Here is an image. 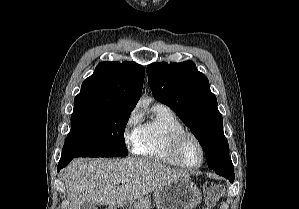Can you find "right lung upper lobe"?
<instances>
[{
	"instance_id": "cb5924a9",
	"label": "right lung upper lobe",
	"mask_w": 299,
	"mask_h": 209,
	"mask_svg": "<svg viewBox=\"0 0 299 209\" xmlns=\"http://www.w3.org/2000/svg\"><path fill=\"white\" fill-rule=\"evenodd\" d=\"M144 68L135 62H102L81 86L74 108L132 111L143 87Z\"/></svg>"
}]
</instances>
